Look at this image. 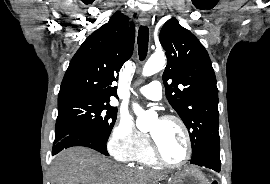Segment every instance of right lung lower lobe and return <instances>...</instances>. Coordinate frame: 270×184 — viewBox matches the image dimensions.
Segmentation results:
<instances>
[{
  "instance_id": "obj_1",
  "label": "right lung lower lobe",
  "mask_w": 270,
  "mask_h": 184,
  "mask_svg": "<svg viewBox=\"0 0 270 184\" xmlns=\"http://www.w3.org/2000/svg\"><path fill=\"white\" fill-rule=\"evenodd\" d=\"M106 142L89 131L79 128H59L55 130V140L52 155L59 153L61 150L83 146L92 148L106 156H108Z\"/></svg>"
}]
</instances>
